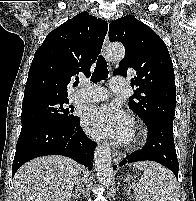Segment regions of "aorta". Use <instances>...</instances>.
Wrapping results in <instances>:
<instances>
[{
  "label": "aorta",
  "mask_w": 196,
  "mask_h": 201,
  "mask_svg": "<svg viewBox=\"0 0 196 201\" xmlns=\"http://www.w3.org/2000/svg\"><path fill=\"white\" fill-rule=\"evenodd\" d=\"M107 57L114 62L121 61L125 56L124 47L121 44L110 45L107 48ZM95 170L99 181L109 185L113 178V166L111 150L107 143L100 144L94 154Z\"/></svg>",
  "instance_id": "aorta-1"
}]
</instances>
